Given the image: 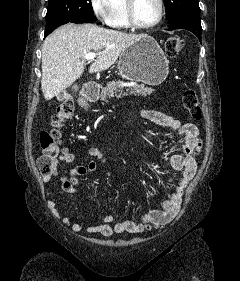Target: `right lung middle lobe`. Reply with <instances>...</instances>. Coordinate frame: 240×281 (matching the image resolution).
I'll use <instances>...</instances> for the list:
<instances>
[{
	"label": "right lung middle lobe",
	"mask_w": 240,
	"mask_h": 281,
	"mask_svg": "<svg viewBox=\"0 0 240 281\" xmlns=\"http://www.w3.org/2000/svg\"><path fill=\"white\" fill-rule=\"evenodd\" d=\"M91 0H49L45 36L60 25L95 22Z\"/></svg>",
	"instance_id": "obj_1"
}]
</instances>
